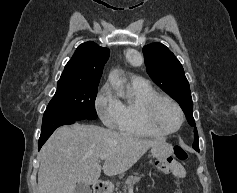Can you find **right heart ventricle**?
Listing matches in <instances>:
<instances>
[{
    "instance_id": "e07e8e85",
    "label": "right heart ventricle",
    "mask_w": 237,
    "mask_h": 193,
    "mask_svg": "<svg viewBox=\"0 0 237 193\" xmlns=\"http://www.w3.org/2000/svg\"><path fill=\"white\" fill-rule=\"evenodd\" d=\"M156 95V90L145 81L129 82L124 99L118 100L119 113L115 128L121 133L133 136H161L162 134L154 132L142 122L144 105Z\"/></svg>"
}]
</instances>
